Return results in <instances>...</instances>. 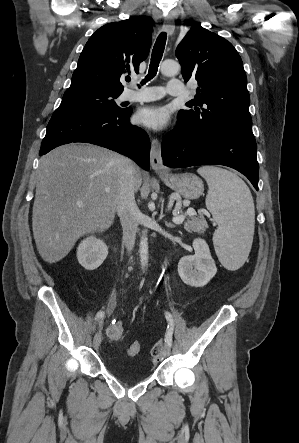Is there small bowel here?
<instances>
[{"label": "small bowel", "instance_id": "obj_1", "mask_svg": "<svg viewBox=\"0 0 299 443\" xmlns=\"http://www.w3.org/2000/svg\"><path fill=\"white\" fill-rule=\"evenodd\" d=\"M115 306H116V302H115V300L112 299L105 311L107 317H110L112 315V313L115 309Z\"/></svg>", "mask_w": 299, "mask_h": 443}]
</instances>
